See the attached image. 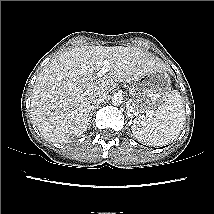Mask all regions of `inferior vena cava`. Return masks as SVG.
Instances as JSON below:
<instances>
[{"label": "inferior vena cava", "mask_w": 214, "mask_h": 214, "mask_svg": "<svg viewBox=\"0 0 214 214\" xmlns=\"http://www.w3.org/2000/svg\"><path fill=\"white\" fill-rule=\"evenodd\" d=\"M108 92L105 90H97L90 95L92 104L100 103L107 98Z\"/></svg>", "instance_id": "inferior-vena-cava-1"}]
</instances>
